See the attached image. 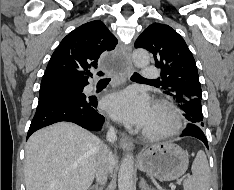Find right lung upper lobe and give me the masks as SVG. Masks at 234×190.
Wrapping results in <instances>:
<instances>
[{
	"mask_svg": "<svg viewBox=\"0 0 234 190\" xmlns=\"http://www.w3.org/2000/svg\"><path fill=\"white\" fill-rule=\"evenodd\" d=\"M117 39L100 20L88 22L70 32L59 44L48 63L43 79H70L91 76L90 68L113 50ZM101 75V72H98Z\"/></svg>",
	"mask_w": 234,
	"mask_h": 190,
	"instance_id": "right-lung-upper-lobe-1",
	"label": "right lung upper lobe"
}]
</instances>
